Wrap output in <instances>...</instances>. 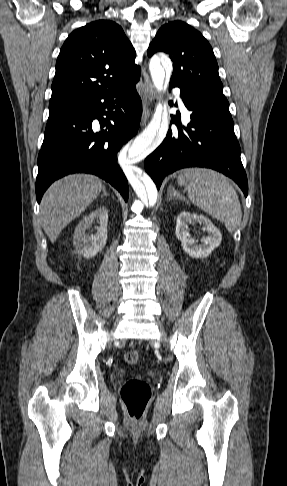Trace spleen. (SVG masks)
Instances as JSON below:
<instances>
[{"instance_id": "1", "label": "spleen", "mask_w": 287, "mask_h": 486, "mask_svg": "<svg viewBox=\"0 0 287 486\" xmlns=\"http://www.w3.org/2000/svg\"><path fill=\"white\" fill-rule=\"evenodd\" d=\"M190 201L199 209L223 223L234 233L241 223L242 211L238 195L228 178L206 168L185 171Z\"/></svg>"}]
</instances>
